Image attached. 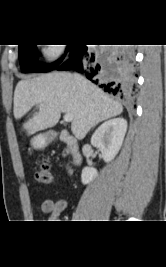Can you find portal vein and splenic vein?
<instances>
[{"label":"portal vein and splenic vein","mask_w":166,"mask_h":267,"mask_svg":"<svg viewBox=\"0 0 166 267\" xmlns=\"http://www.w3.org/2000/svg\"><path fill=\"white\" fill-rule=\"evenodd\" d=\"M42 104L39 105V107H41ZM63 120L65 122H71L73 120V114L71 113H66L64 116H63Z\"/></svg>","instance_id":"portal-vein-and-splenic-vein-1"}]
</instances>
